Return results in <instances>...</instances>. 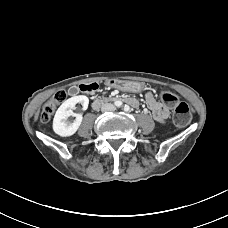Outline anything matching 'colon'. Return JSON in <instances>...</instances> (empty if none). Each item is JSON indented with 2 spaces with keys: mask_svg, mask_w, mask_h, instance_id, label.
Masks as SVG:
<instances>
[{
  "mask_svg": "<svg viewBox=\"0 0 228 228\" xmlns=\"http://www.w3.org/2000/svg\"><path fill=\"white\" fill-rule=\"evenodd\" d=\"M66 98L67 93L64 90L57 91L52 96V98L43 106L40 114V120L42 122H48L54 114L56 107L59 104L63 103ZM161 99L167 105L174 107L173 120L175 125L183 127L189 124L192 118V112L187 103L180 102L174 94L169 92H163L161 94Z\"/></svg>",
  "mask_w": 228,
  "mask_h": 228,
  "instance_id": "1",
  "label": "colon"
}]
</instances>
